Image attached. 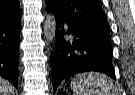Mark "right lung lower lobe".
<instances>
[{
	"instance_id": "obj_1",
	"label": "right lung lower lobe",
	"mask_w": 135,
	"mask_h": 95,
	"mask_svg": "<svg viewBox=\"0 0 135 95\" xmlns=\"http://www.w3.org/2000/svg\"><path fill=\"white\" fill-rule=\"evenodd\" d=\"M20 16L0 20V76L18 87Z\"/></svg>"
}]
</instances>
